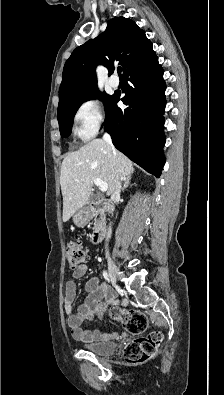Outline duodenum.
<instances>
[{
    "instance_id": "obj_1",
    "label": "duodenum",
    "mask_w": 224,
    "mask_h": 395,
    "mask_svg": "<svg viewBox=\"0 0 224 395\" xmlns=\"http://www.w3.org/2000/svg\"><path fill=\"white\" fill-rule=\"evenodd\" d=\"M110 203L107 199H99L96 202L89 203V208L92 213L96 212L99 208H109ZM106 229L104 226H98L92 234V243L99 244L105 237Z\"/></svg>"
}]
</instances>
